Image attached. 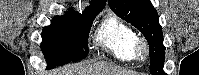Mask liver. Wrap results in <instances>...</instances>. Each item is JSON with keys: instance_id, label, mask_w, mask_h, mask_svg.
Instances as JSON below:
<instances>
[{"instance_id": "1", "label": "liver", "mask_w": 199, "mask_h": 75, "mask_svg": "<svg viewBox=\"0 0 199 75\" xmlns=\"http://www.w3.org/2000/svg\"><path fill=\"white\" fill-rule=\"evenodd\" d=\"M50 75H136V73L117 68L106 62H97L89 66L74 65L71 68L58 70Z\"/></svg>"}]
</instances>
